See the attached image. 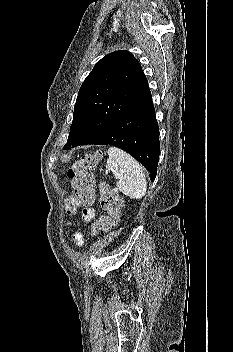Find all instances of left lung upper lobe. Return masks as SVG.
<instances>
[{
	"label": "left lung upper lobe",
	"instance_id": "1",
	"mask_svg": "<svg viewBox=\"0 0 233 352\" xmlns=\"http://www.w3.org/2000/svg\"><path fill=\"white\" fill-rule=\"evenodd\" d=\"M151 96L140 63L128 51L103 57L83 82L64 149L87 145Z\"/></svg>",
	"mask_w": 233,
	"mask_h": 352
}]
</instances>
